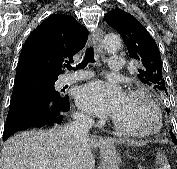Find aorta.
Masks as SVG:
<instances>
[{
    "label": "aorta",
    "instance_id": "1",
    "mask_svg": "<svg viewBox=\"0 0 177 169\" xmlns=\"http://www.w3.org/2000/svg\"><path fill=\"white\" fill-rule=\"evenodd\" d=\"M121 45V40L118 35H107L104 38V47L107 51H115L117 50Z\"/></svg>",
    "mask_w": 177,
    "mask_h": 169
}]
</instances>
